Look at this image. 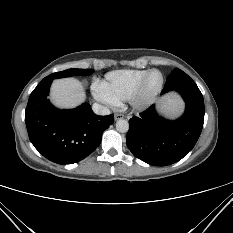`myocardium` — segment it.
<instances>
[{
	"label": "myocardium",
	"mask_w": 233,
	"mask_h": 233,
	"mask_svg": "<svg viewBox=\"0 0 233 233\" xmlns=\"http://www.w3.org/2000/svg\"><path fill=\"white\" fill-rule=\"evenodd\" d=\"M155 72H157L160 75V78H161L160 83L153 92L147 93L146 85H147L148 78L152 73H155ZM163 86H164L163 74L159 70H156V69L148 70L147 73L141 78L136 88L133 90L130 97L128 98V102L130 106L134 110H137V111H142V110L147 109L155 102V100L161 93Z\"/></svg>",
	"instance_id": "f54148a6"
}]
</instances>
